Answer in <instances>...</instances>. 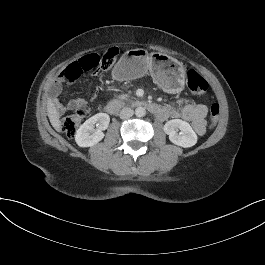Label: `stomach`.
Wrapping results in <instances>:
<instances>
[{"label":"stomach","mask_w":265,"mask_h":265,"mask_svg":"<svg viewBox=\"0 0 265 265\" xmlns=\"http://www.w3.org/2000/svg\"><path fill=\"white\" fill-rule=\"evenodd\" d=\"M147 73L167 92L178 93L184 88L183 64L166 54H148L144 49L129 50L123 54L114 69V76L118 80L136 79Z\"/></svg>","instance_id":"1"}]
</instances>
